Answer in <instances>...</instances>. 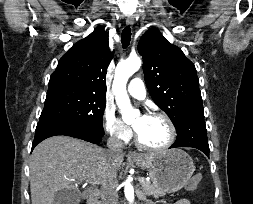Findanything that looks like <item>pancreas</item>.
Here are the masks:
<instances>
[{
  "mask_svg": "<svg viewBox=\"0 0 253 204\" xmlns=\"http://www.w3.org/2000/svg\"><path fill=\"white\" fill-rule=\"evenodd\" d=\"M142 184V190L146 195H152L155 197L163 196L164 192L153 182H143Z\"/></svg>",
  "mask_w": 253,
  "mask_h": 204,
  "instance_id": "pancreas-1",
  "label": "pancreas"
}]
</instances>
